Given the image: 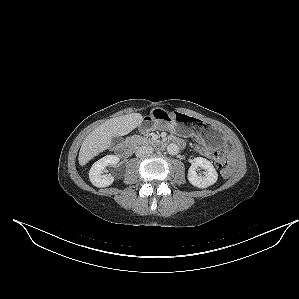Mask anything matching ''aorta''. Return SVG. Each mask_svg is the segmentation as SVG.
<instances>
[{
	"label": "aorta",
	"instance_id": "aorta-1",
	"mask_svg": "<svg viewBox=\"0 0 299 299\" xmlns=\"http://www.w3.org/2000/svg\"><path fill=\"white\" fill-rule=\"evenodd\" d=\"M167 152L170 155H176V154H178L179 153V147H178V145L173 144V143L169 144L168 147H167Z\"/></svg>",
	"mask_w": 299,
	"mask_h": 299
}]
</instances>
